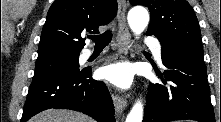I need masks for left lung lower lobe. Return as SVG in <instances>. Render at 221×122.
Wrapping results in <instances>:
<instances>
[{
	"instance_id": "0a47b994",
	"label": "left lung lower lobe",
	"mask_w": 221,
	"mask_h": 122,
	"mask_svg": "<svg viewBox=\"0 0 221 122\" xmlns=\"http://www.w3.org/2000/svg\"><path fill=\"white\" fill-rule=\"evenodd\" d=\"M147 35L151 33L147 32ZM162 63L167 68L162 81L149 85L143 122L192 119L215 122L203 55L162 46Z\"/></svg>"
}]
</instances>
